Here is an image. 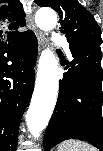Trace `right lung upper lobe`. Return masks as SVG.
Listing matches in <instances>:
<instances>
[{
	"label": "right lung upper lobe",
	"mask_w": 103,
	"mask_h": 151,
	"mask_svg": "<svg viewBox=\"0 0 103 151\" xmlns=\"http://www.w3.org/2000/svg\"><path fill=\"white\" fill-rule=\"evenodd\" d=\"M25 14L18 0L0 1V45L16 41L22 34L17 31L25 25Z\"/></svg>",
	"instance_id": "obj_1"
}]
</instances>
